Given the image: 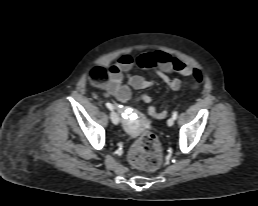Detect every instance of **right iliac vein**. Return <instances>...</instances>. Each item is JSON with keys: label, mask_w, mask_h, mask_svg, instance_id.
<instances>
[{"label": "right iliac vein", "mask_w": 258, "mask_h": 206, "mask_svg": "<svg viewBox=\"0 0 258 206\" xmlns=\"http://www.w3.org/2000/svg\"><path fill=\"white\" fill-rule=\"evenodd\" d=\"M110 118H111V121L113 122V124L117 125L119 123V117L115 111H112L110 113Z\"/></svg>", "instance_id": "1"}]
</instances>
